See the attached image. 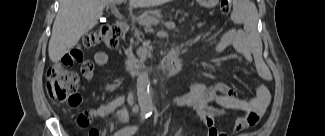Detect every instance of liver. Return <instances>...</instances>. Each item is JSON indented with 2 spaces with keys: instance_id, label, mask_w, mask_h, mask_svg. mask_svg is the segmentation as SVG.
<instances>
[{
  "instance_id": "1",
  "label": "liver",
  "mask_w": 325,
  "mask_h": 136,
  "mask_svg": "<svg viewBox=\"0 0 325 136\" xmlns=\"http://www.w3.org/2000/svg\"><path fill=\"white\" fill-rule=\"evenodd\" d=\"M167 0H129L131 8L154 6ZM115 0H60L49 41V57L59 61L90 31L103 15L104 8Z\"/></svg>"
}]
</instances>
